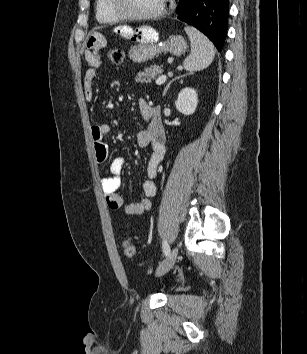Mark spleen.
Listing matches in <instances>:
<instances>
[{
    "mask_svg": "<svg viewBox=\"0 0 307 354\" xmlns=\"http://www.w3.org/2000/svg\"><path fill=\"white\" fill-rule=\"evenodd\" d=\"M185 31L191 42V53L183 62L184 69L200 71L207 68L215 56L213 43L193 27H186Z\"/></svg>",
    "mask_w": 307,
    "mask_h": 354,
    "instance_id": "spleen-1",
    "label": "spleen"
}]
</instances>
